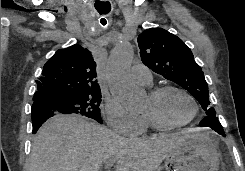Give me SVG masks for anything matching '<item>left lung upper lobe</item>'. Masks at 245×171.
Segmentation results:
<instances>
[{"instance_id": "obj_1", "label": "left lung upper lobe", "mask_w": 245, "mask_h": 171, "mask_svg": "<svg viewBox=\"0 0 245 171\" xmlns=\"http://www.w3.org/2000/svg\"><path fill=\"white\" fill-rule=\"evenodd\" d=\"M138 45L147 67L186 89L200 103L206 116L216 117L204 73L179 37L162 28H150L138 36Z\"/></svg>"}]
</instances>
